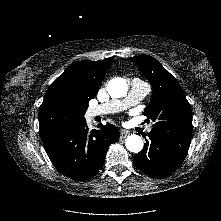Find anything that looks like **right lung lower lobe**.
Here are the masks:
<instances>
[{"label":"right lung lower lobe","instance_id":"obj_1","mask_svg":"<svg viewBox=\"0 0 221 221\" xmlns=\"http://www.w3.org/2000/svg\"><path fill=\"white\" fill-rule=\"evenodd\" d=\"M119 137L118 128L112 124H98L97 129L90 131L84 120L44 148L60 173L84 181L103 167L108 147Z\"/></svg>","mask_w":221,"mask_h":221}]
</instances>
